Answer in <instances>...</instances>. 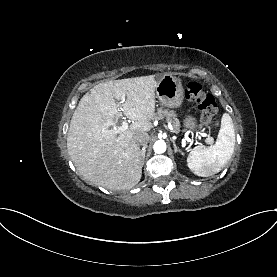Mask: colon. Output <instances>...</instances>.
<instances>
[{
  "label": "colon",
  "mask_w": 277,
  "mask_h": 277,
  "mask_svg": "<svg viewBox=\"0 0 277 277\" xmlns=\"http://www.w3.org/2000/svg\"><path fill=\"white\" fill-rule=\"evenodd\" d=\"M184 93L186 98L196 103L201 110V122L204 126L209 127L218 123L220 110L217 101L211 94L203 90L199 82L191 81L187 83Z\"/></svg>",
  "instance_id": "5ec220e1"
}]
</instances>
